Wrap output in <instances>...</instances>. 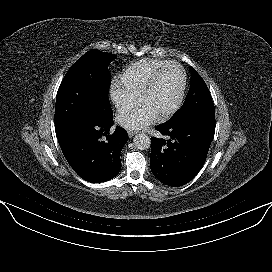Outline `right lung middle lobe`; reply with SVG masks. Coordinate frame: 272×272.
Segmentation results:
<instances>
[{
	"label": "right lung middle lobe",
	"mask_w": 272,
	"mask_h": 272,
	"mask_svg": "<svg viewBox=\"0 0 272 272\" xmlns=\"http://www.w3.org/2000/svg\"><path fill=\"white\" fill-rule=\"evenodd\" d=\"M115 58L114 54L90 50L68 70L56 96L57 137L83 117L103 119L113 115L108 98L111 83L108 65Z\"/></svg>",
	"instance_id": "obj_1"
}]
</instances>
